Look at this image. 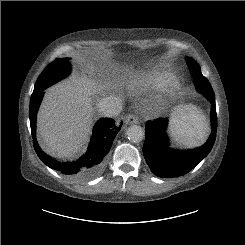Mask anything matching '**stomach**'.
Listing matches in <instances>:
<instances>
[{
    "instance_id": "stomach-1",
    "label": "stomach",
    "mask_w": 245,
    "mask_h": 245,
    "mask_svg": "<svg viewBox=\"0 0 245 245\" xmlns=\"http://www.w3.org/2000/svg\"><path fill=\"white\" fill-rule=\"evenodd\" d=\"M183 111V107L182 106H178V107H175L173 109V118L177 117L181 112Z\"/></svg>"
}]
</instances>
